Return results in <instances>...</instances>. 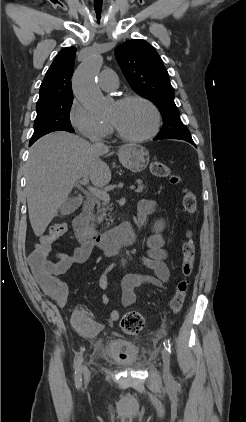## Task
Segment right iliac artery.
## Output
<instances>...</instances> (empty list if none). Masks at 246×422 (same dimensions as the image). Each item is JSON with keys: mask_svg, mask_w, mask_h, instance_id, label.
I'll return each instance as SVG.
<instances>
[{"mask_svg": "<svg viewBox=\"0 0 246 422\" xmlns=\"http://www.w3.org/2000/svg\"><path fill=\"white\" fill-rule=\"evenodd\" d=\"M82 355H79L76 361V366H75V382L77 387H80L82 384V368H81V363H82Z\"/></svg>", "mask_w": 246, "mask_h": 422, "instance_id": "1", "label": "right iliac artery"}]
</instances>
